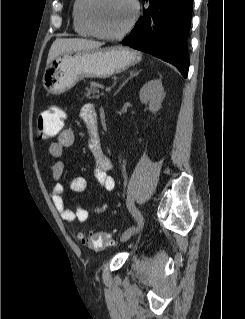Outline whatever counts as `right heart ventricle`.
<instances>
[{
	"mask_svg": "<svg viewBox=\"0 0 245 319\" xmlns=\"http://www.w3.org/2000/svg\"><path fill=\"white\" fill-rule=\"evenodd\" d=\"M86 0H74L72 5V22L75 32L81 36H94L84 18Z\"/></svg>",
	"mask_w": 245,
	"mask_h": 319,
	"instance_id": "1",
	"label": "right heart ventricle"
}]
</instances>
